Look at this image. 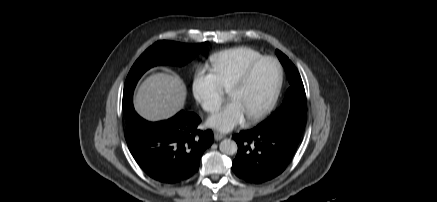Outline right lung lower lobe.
<instances>
[{
  "label": "right lung lower lobe",
  "mask_w": 437,
  "mask_h": 202,
  "mask_svg": "<svg viewBox=\"0 0 437 202\" xmlns=\"http://www.w3.org/2000/svg\"><path fill=\"white\" fill-rule=\"evenodd\" d=\"M200 122L195 113L186 110L159 122L146 121L133 110L126 118L125 138L132 156L148 176L174 184L198 171L202 153L213 143L211 130L197 129Z\"/></svg>",
  "instance_id": "right-lung-lower-lobe-1"
}]
</instances>
